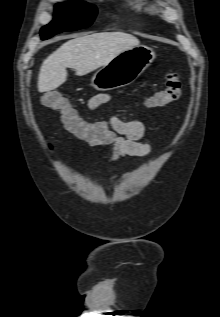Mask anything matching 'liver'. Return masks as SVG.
Masks as SVG:
<instances>
[{"label": "liver", "mask_w": 220, "mask_h": 317, "mask_svg": "<svg viewBox=\"0 0 220 317\" xmlns=\"http://www.w3.org/2000/svg\"><path fill=\"white\" fill-rule=\"evenodd\" d=\"M139 44L135 36L123 32L75 37L43 61L38 75V91H51L65 83L68 75L66 68H72L76 75L83 76L107 65L121 52Z\"/></svg>", "instance_id": "liver-1"}]
</instances>
